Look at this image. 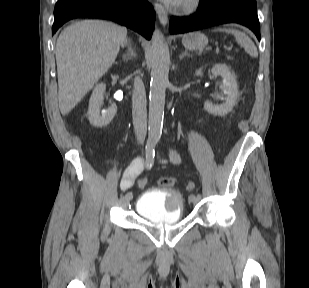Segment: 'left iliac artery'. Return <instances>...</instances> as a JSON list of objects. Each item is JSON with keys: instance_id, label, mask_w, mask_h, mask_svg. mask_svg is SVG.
<instances>
[{"instance_id": "44dca946", "label": "left iliac artery", "mask_w": 309, "mask_h": 288, "mask_svg": "<svg viewBox=\"0 0 309 288\" xmlns=\"http://www.w3.org/2000/svg\"><path fill=\"white\" fill-rule=\"evenodd\" d=\"M195 197H196L195 195H191V196H190L191 199H194ZM190 198H189V199H190ZM197 198L201 199V195L198 194V195H197Z\"/></svg>"}]
</instances>
